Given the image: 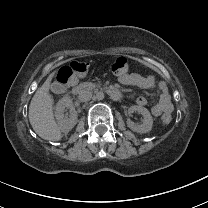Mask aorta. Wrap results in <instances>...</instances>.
<instances>
[{
  "mask_svg": "<svg viewBox=\"0 0 208 208\" xmlns=\"http://www.w3.org/2000/svg\"><path fill=\"white\" fill-rule=\"evenodd\" d=\"M96 100L98 102H103L105 100V95L103 92H98L96 95Z\"/></svg>",
  "mask_w": 208,
  "mask_h": 208,
  "instance_id": "obj_1",
  "label": "aorta"
}]
</instances>
